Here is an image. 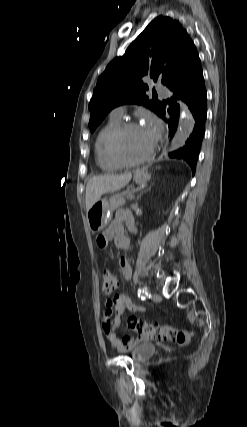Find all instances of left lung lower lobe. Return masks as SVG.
Wrapping results in <instances>:
<instances>
[{
    "mask_svg": "<svg viewBox=\"0 0 247 427\" xmlns=\"http://www.w3.org/2000/svg\"><path fill=\"white\" fill-rule=\"evenodd\" d=\"M168 88L172 91L171 98L167 100V103L170 105L167 110L170 118H166V111L164 109L165 104L164 107H162L159 116L168 123L169 135L172 136L177 129L179 120L178 100H182L188 104L195 119L193 132L187 139L185 145L177 151L171 152L169 156L185 160L190 165L194 173L205 133L204 124L207 117V93L205 90L200 59L198 58L188 72L170 84Z\"/></svg>",
    "mask_w": 247,
    "mask_h": 427,
    "instance_id": "0a47b994",
    "label": "left lung lower lobe"
}]
</instances>
